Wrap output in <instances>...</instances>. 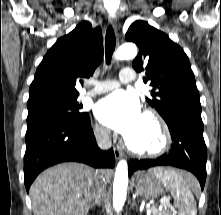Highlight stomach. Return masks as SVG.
<instances>
[{
  "mask_svg": "<svg viewBox=\"0 0 221 215\" xmlns=\"http://www.w3.org/2000/svg\"><path fill=\"white\" fill-rule=\"evenodd\" d=\"M159 172H165L161 168L151 169L147 172H138L135 174V189L147 199H154L160 196L164 190V183L158 176Z\"/></svg>",
  "mask_w": 221,
  "mask_h": 215,
  "instance_id": "1",
  "label": "stomach"
}]
</instances>
